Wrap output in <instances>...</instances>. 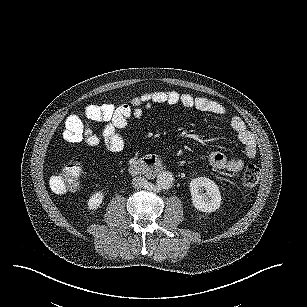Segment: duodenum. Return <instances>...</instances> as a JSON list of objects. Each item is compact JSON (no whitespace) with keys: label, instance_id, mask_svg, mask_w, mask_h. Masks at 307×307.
<instances>
[{"label":"duodenum","instance_id":"1","mask_svg":"<svg viewBox=\"0 0 307 307\" xmlns=\"http://www.w3.org/2000/svg\"><path fill=\"white\" fill-rule=\"evenodd\" d=\"M162 170V161L154 155L136 159L129 166L132 175L148 178L156 177Z\"/></svg>","mask_w":307,"mask_h":307}]
</instances>
